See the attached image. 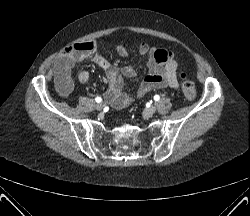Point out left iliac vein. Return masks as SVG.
Listing matches in <instances>:
<instances>
[{
  "label": "left iliac vein",
  "mask_w": 250,
  "mask_h": 216,
  "mask_svg": "<svg viewBox=\"0 0 250 216\" xmlns=\"http://www.w3.org/2000/svg\"><path fill=\"white\" fill-rule=\"evenodd\" d=\"M146 112L148 113V114H154L155 112H156V107L155 106H150V107H148L147 109H146Z\"/></svg>",
  "instance_id": "obj_1"
}]
</instances>
